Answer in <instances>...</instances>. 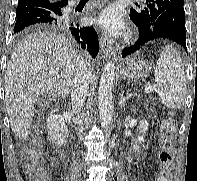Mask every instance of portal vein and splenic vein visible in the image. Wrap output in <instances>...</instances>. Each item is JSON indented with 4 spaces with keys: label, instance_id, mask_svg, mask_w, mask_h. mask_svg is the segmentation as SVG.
<instances>
[{
    "label": "portal vein and splenic vein",
    "instance_id": "obj_1",
    "mask_svg": "<svg viewBox=\"0 0 197 181\" xmlns=\"http://www.w3.org/2000/svg\"><path fill=\"white\" fill-rule=\"evenodd\" d=\"M153 86H151V85H147L146 87H145V92L146 93H150L152 90H153Z\"/></svg>",
    "mask_w": 197,
    "mask_h": 181
}]
</instances>
